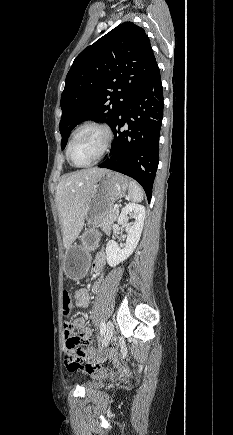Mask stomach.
Returning a JSON list of instances; mask_svg holds the SVG:
<instances>
[{"instance_id": "stomach-1", "label": "stomach", "mask_w": 233, "mask_h": 435, "mask_svg": "<svg viewBox=\"0 0 233 435\" xmlns=\"http://www.w3.org/2000/svg\"><path fill=\"white\" fill-rule=\"evenodd\" d=\"M128 187V179L116 172L107 170L97 177L85 210L84 219L89 228L80 237L81 244L70 246L64 254L63 268L70 279L80 280L85 277L90 263V252L97 245L100 236L96 228L104 220L107 209L125 195Z\"/></svg>"}]
</instances>
